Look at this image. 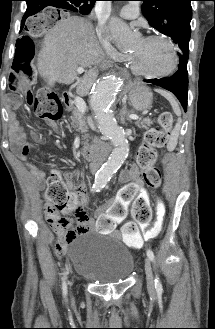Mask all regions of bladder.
Masks as SVG:
<instances>
[{
    "label": "bladder",
    "instance_id": "1",
    "mask_svg": "<svg viewBox=\"0 0 215 329\" xmlns=\"http://www.w3.org/2000/svg\"><path fill=\"white\" fill-rule=\"evenodd\" d=\"M77 273L98 284H112L127 279L134 269V258L116 236L88 231L80 233L68 245Z\"/></svg>",
    "mask_w": 215,
    "mask_h": 329
}]
</instances>
